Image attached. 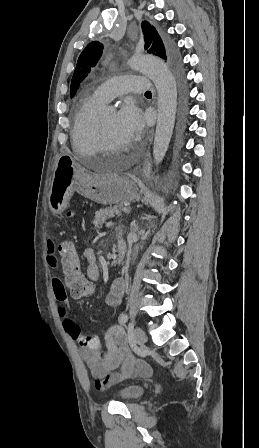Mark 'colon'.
I'll return each mask as SVG.
<instances>
[{"label":"colon","instance_id":"colon-1","mask_svg":"<svg viewBox=\"0 0 259 448\" xmlns=\"http://www.w3.org/2000/svg\"><path fill=\"white\" fill-rule=\"evenodd\" d=\"M59 253L64 283L71 295L76 298L91 297L95 289L83 272L82 258L76 246L71 241H63ZM80 345L90 350H100L96 334L84 335ZM101 358H105V355L101 354Z\"/></svg>","mask_w":259,"mask_h":448}]
</instances>
